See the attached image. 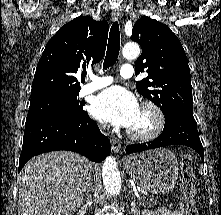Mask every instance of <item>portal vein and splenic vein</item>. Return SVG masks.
<instances>
[{
    "label": "portal vein and splenic vein",
    "instance_id": "obj_1",
    "mask_svg": "<svg viewBox=\"0 0 221 215\" xmlns=\"http://www.w3.org/2000/svg\"><path fill=\"white\" fill-rule=\"evenodd\" d=\"M137 197H138V199L140 200V198H141L140 195H137Z\"/></svg>",
    "mask_w": 221,
    "mask_h": 215
}]
</instances>
